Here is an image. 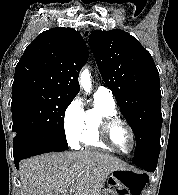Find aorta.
Returning a JSON list of instances; mask_svg holds the SVG:
<instances>
[{"label": "aorta", "mask_w": 178, "mask_h": 195, "mask_svg": "<svg viewBox=\"0 0 178 195\" xmlns=\"http://www.w3.org/2000/svg\"><path fill=\"white\" fill-rule=\"evenodd\" d=\"M79 83L81 88L86 92V94L91 92L92 89V82H91V74L88 68H84L79 77Z\"/></svg>", "instance_id": "762f6f07"}]
</instances>
